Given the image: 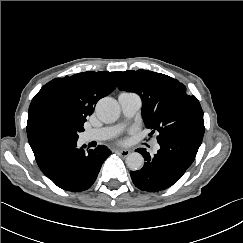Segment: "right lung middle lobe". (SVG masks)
<instances>
[{
  "label": "right lung middle lobe",
  "mask_w": 243,
  "mask_h": 243,
  "mask_svg": "<svg viewBox=\"0 0 243 243\" xmlns=\"http://www.w3.org/2000/svg\"><path fill=\"white\" fill-rule=\"evenodd\" d=\"M38 119L42 127L56 129L74 139H78V133L84 131L85 120L76 117L57 103L42 106L38 112Z\"/></svg>",
  "instance_id": "dd1d6c3e"
}]
</instances>
